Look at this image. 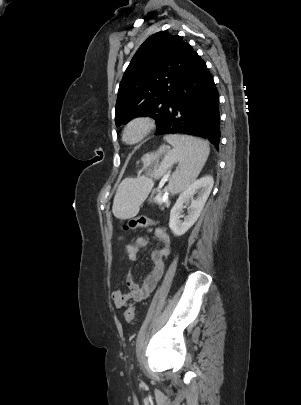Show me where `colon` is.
Instances as JSON below:
<instances>
[{"label":"colon","mask_w":301,"mask_h":405,"mask_svg":"<svg viewBox=\"0 0 301 405\" xmlns=\"http://www.w3.org/2000/svg\"><path fill=\"white\" fill-rule=\"evenodd\" d=\"M155 225V222L151 219L140 216L133 218L122 225L124 231L133 230L136 228H147ZM123 239L121 237L117 238L118 242H121ZM135 316V306L131 303L128 305L127 309L125 310L124 317L127 323H132Z\"/></svg>","instance_id":"obj_1"}]
</instances>
